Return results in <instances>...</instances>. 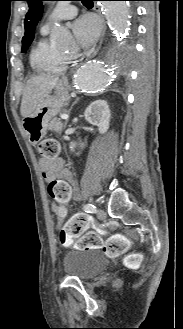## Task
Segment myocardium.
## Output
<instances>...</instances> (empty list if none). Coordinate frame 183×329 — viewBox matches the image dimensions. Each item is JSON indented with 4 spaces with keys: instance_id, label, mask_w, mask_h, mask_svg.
Masks as SVG:
<instances>
[{
    "instance_id": "obj_1",
    "label": "myocardium",
    "mask_w": 183,
    "mask_h": 329,
    "mask_svg": "<svg viewBox=\"0 0 183 329\" xmlns=\"http://www.w3.org/2000/svg\"><path fill=\"white\" fill-rule=\"evenodd\" d=\"M63 59H64L65 64L68 66L75 59V55L74 54H72V55L65 54V56H63Z\"/></svg>"
}]
</instances>
